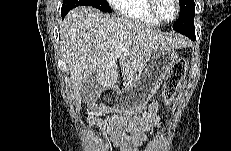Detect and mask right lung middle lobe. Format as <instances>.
<instances>
[{
    "instance_id": "1",
    "label": "right lung middle lobe",
    "mask_w": 231,
    "mask_h": 151,
    "mask_svg": "<svg viewBox=\"0 0 231 151\" xmlns=\"http://www.w3.org/2000/svg\"><path fill=\"white\" fill-rule=\"evenodd\" d=\"M62 8L73 9L77 6L86 5L95 7L103 12H111V8L106 0H64Z\"/></svg>"
}]
</instances>
